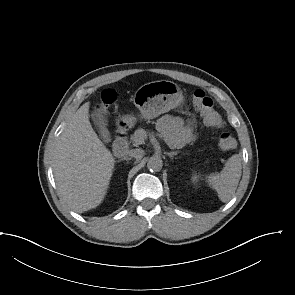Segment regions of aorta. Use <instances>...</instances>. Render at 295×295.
<instances>
[{
    "label": "aorta",
    "instance_id": "aorta-1",
    "mask_svg": "<svg viewBox=\"0 0 295 295\" xmlns=\"http://www.w3.org/2000/svg\"><path fill=\"white\" fill-rule=\"evenodd\" d=\"M162 166H163L162 159L158 156L150 157L147 162V168L153 172L160 171L162 169Z\"/></svg>",
    "mask_w": 295,
    "mask_h": 295
}]
</instances>
